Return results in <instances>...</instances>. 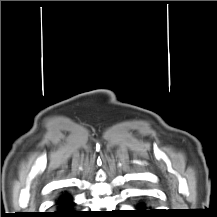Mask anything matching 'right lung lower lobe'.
<instances>
[{"mask_svg":"<svg viewBox=\"0 0 217 217\" xmlns=\"http://www.w3.org/2000/svg\"><path fill=\"white\" fill-rule=\"evenodd\" d=\"M73 207H74L73 198L69 194L64 193L60 195L56 200L57 211L49 213L45 216L46 217H83L84 216L79 211H75Z\"/></svg>","mask_w":217,"mask_h":217,"instance_id":"1","label":"right lung lower lobe"}]
</instances>
